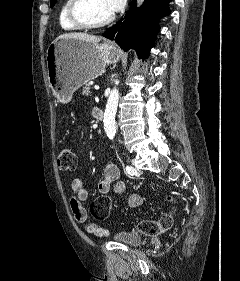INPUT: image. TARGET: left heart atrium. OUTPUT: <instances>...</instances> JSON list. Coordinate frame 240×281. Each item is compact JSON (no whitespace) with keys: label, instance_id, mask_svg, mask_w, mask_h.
Wrapping results in <instances>:
<instances>
[{"label":"left heart atrium","instance_id":"obj_1","mask_svg":"<svg viewBox=\"0 0 240 281\" xmlns=\"http://www.w3.org/2000/svg\"><path fill=\"white\" fill-rule=\"evenodd\" d=\"M106 1L108 4V7L110 8V10L112 12L121 10L124 7L125 2H126V0H106Z\"/></svg>","mask_w":240,"mask_h":281}]
</instances>
